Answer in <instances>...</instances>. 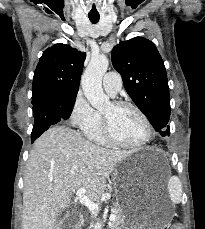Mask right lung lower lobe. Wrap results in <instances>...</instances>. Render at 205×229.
<instances>
[{
    "mask_svg": "<svg viewBox=\"0 0 205 229\" xmlns=\"http://www.w3.org/2000/svg\"><path fill=\"white\" fill-rule=\"evenodd\" d=\"M74 103L75 100L68 95H55L33 105L35 121L31 133V143L51 125L56 124L61 119H68Z\"/></svg>",
    "mask_w": 205,
    "mask_h": 229,
    "instance_id": "obj_1",
    "label": "right lung lower lobe"
}]
</instances>
